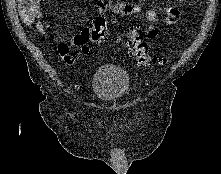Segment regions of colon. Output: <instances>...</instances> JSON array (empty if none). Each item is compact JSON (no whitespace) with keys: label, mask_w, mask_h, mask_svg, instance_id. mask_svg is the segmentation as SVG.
Listing matches in <instances>:
<instances>
[{"label":"colon","mask_w":221,"mask_h":174,"mask_svg":"<svg viewBox=\"0 0 221 174\" xmlns=\"http://www.w3.org/2000/svg\"><path fill=\"white\" fill-rule=\"evenodd\" d=\"M40 0H18L19 14L22 22L26 25L33 24L38 18ZM108 35L107 20L104 16H98L93 25L85 28L80 36L84 42L99 43ZM129 49V54L134 57L140 65L154 66L165 63V58L151 55L149 46L145 41L146 35L137 26H132L124 36ZM122 36L116 37V41H122Z\"/></svg>","instance_id":"1"}]
</instances>
